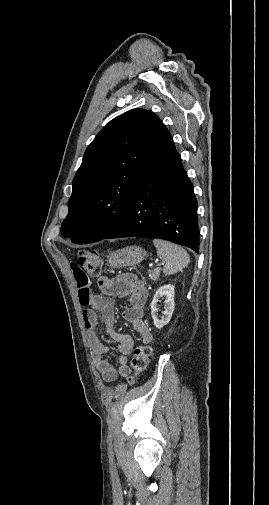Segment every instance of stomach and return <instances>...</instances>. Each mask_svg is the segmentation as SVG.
<instances>
[{"instance_id": "0dacf381", "label": "stomach", "mask_w": 269, "mask_h": 505, "mask_svg": "<svg viewBox=\"0 0 269 505\" xmlns=\"http://www.w3.org/2000/svg\"><path fill=\"white\" fill-rule=\"evenodd\" d=\"M146 252L139 246H128L111 252L107 262L113 268L130 267L139 264L145 258Z\"/></svg>"}]
</instances>
